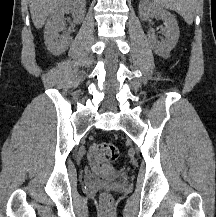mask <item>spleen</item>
I'll use <instances>...</instances> for the list:
<instances>
[{
	"label": "spleen",
	"instance_id": "obj_1",
	"mask_svg": "<svg viewBox=\"0 0 216 217\" xmlns=\"http://www.w3.org/2000/svg\"><path fill=\"white\" fill-rule=\"evenodd\" d=\"M158 7L170 9L180 14L187 24L191 25L194 19L197 0H152Z\"/></svg>",
	"mask_w": 216,
	"mask_h": 217
}]
</instances>
